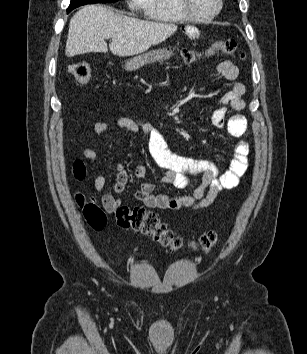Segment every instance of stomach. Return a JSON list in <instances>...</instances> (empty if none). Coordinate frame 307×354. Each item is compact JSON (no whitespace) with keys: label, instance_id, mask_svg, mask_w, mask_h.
Wrapping results in <instances>:
<instances>
[{"label":"stomach","instance_id":"stomach-1","mask_svg":"<svg viewBox=\"0 0 307 354\" xmlns=\"http://www.w3.org/2000/svg\"><path fill=\"white\" fill-rule=\"evenodd\" d=\"M173 55L172 51L167 49H158L150 51L143 55L136 56L125 63V68L128 71H135L145 65L163 62L164 60L169 59Z\"/></svg>","mask_w":307,"mask_h":354}]
</instances>
